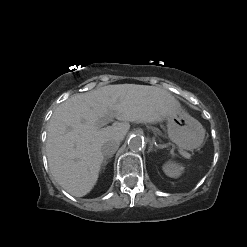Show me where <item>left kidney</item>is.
I'll return each mask as SVG.
<instances>
[{
	"mask_svg": "<svg viewBox=\"0 0 247 247\" xmlns=\"http://www.w3.org/2000/svg\"><path fill=\"white\" fill-rule=\"evenodd\" d=\"M164 173L171 178H178L184 171V167L178 163L168 161L162 167Z\"/></svg>",
	"mask_w": 247,
	"mask_h": 247,
	"instance_id": "5707ae66",
	"label": "left kidney"
}]
</instances>
